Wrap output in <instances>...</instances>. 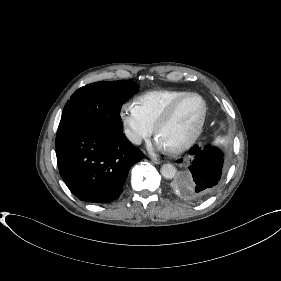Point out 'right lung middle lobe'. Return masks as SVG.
<instances>
[{
  "label": "right lung middle lobe",
  "instance_id": "obj_1",
  "mask_svg": "<svg viewBox=\"0 0 281 281\" xmlns=\"http://www.w3.org/2000/svg\"><path fill=\"white\" fill-rule=\"evenodd\" d=\"M139 90L134 82H96L79 88L67 101L57 137L88 129H122L120 109Z\"/></svg>",
  "mask_w": 281,
  "mask_h": 281
}]
</instances>
